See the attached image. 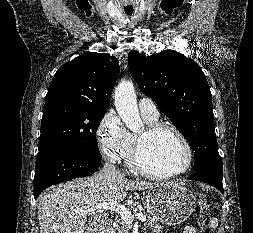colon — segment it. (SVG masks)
<instances>
[{
  "label": "colon",
  "mask_w": 253,
  "mask_h": 233,
  "mask_svg": "<svg viewBox=\"0 0 253 233\" xmlns=\"http://www.w3.org/2000/svg\"><path fill=\"white\" fill-rule=\"evenodd\" d=\"M198 198H199L200 203L202 204V208L198 216V225H199L200 233H213V230L210 224V212L205 200V195L199 194Z\"/></svg>",
  "instance_id": "1"
}]
</instances>
